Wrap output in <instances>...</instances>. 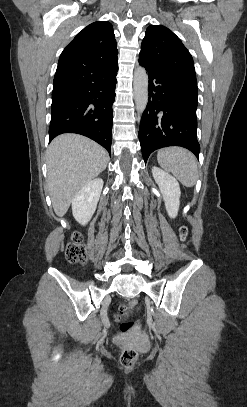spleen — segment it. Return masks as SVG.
Returning <instances> with one entry per match:
<instances>
[{"mask_svg":"<svg viewBox=\"0 0 247 407\" xmlns=\"http://www.w3.org/2000/svg\"><path fill=\"white\" fill-rule=\"evenodd\" d=\"M159 165L171 172L184 186L193 187L198 179L195 156L181 147H167L157 153Z\"/></svg>","mask_w":247,"mask_h":407,"instance_id":"spleen-1","label":"spleen"}]
</instances>
